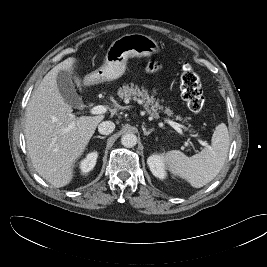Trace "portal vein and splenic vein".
<instances>
[{
    "instance_id": "obj_1",
    "label": "portal vein and splenic vein",
    "mask_w": 267,
    "mask_h": 267,
    "mask_svg": "<svg viewBox=\"0 0 267 267\" xmlns=\"http://www.w3.org/2000/svg\"><path fill=\"white\" fill-rule=\"evenodd\" d=\"M107 112V107L103 106V105H98V106H94L93 108H91L90 113L91 114H104ZM170 126H172L177 132H179L180 134H182V128H185L183 125L178 124L176 122H173L172 120L166 119L165 120ZM72 127V126H70ZM186 129V128H185ZM194 137H197L196 135H192ZM198 142L205 146L208 147V143L205 141H202L201 139H198ZM191 144V142H187V145Z\"/></svg>"
}]
</instances>
